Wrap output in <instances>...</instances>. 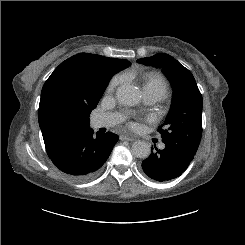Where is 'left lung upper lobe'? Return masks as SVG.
I'll return each mask as SVG.
<instances>
[{
	"label": "left lung upper lobe",
	"mask_w": 245,
	"mask_h": 245,
	"mask_svg": "<svg viewBox=\"0 0 245 245\" xmlns=\"http://www.w3.org/2000/svg\"><path fill=\"white\" fill-rule=\"evenodd\" d=\"M139 63L162 67L169 77L173 90L171 109L159 128L162 141L179 144L196 153L202 135V95L191 72L170 55L158 53L142 58Z\"/></svg>",
	"instance_id": "left-lung-upper-lobe-1"
}]
</instances>
